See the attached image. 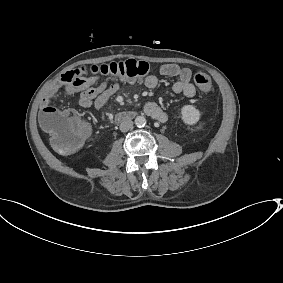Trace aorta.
Listing matches in <instances>:
<instances>
[{
	"instance_id": "obj_1",
	"label": "aorta",
	"mask_w": 283,
	"mask_h": 283,
	"mask_svg": "<svg viewBox=\"0 0 283 283\" xmlns=\"http://www.w3.org/2000/svg\"><path fill=\"white\" fill-rule=\"evenodd\" d=\"M145 124H146V119H145V117H143V116H137V117L135 118V125H136L137 127H144Z\"/></svg>"
}]
</instances>
